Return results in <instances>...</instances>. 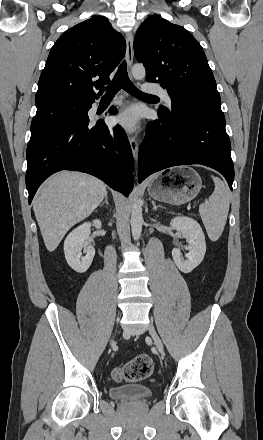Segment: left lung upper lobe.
<instances>
[{
    "mask_svg": "<svg viewBox=\"0 0 263 440\" xmlns=\"http://www.w3.org/2000/svg\"><path fill=\"white\" fill-rule=\"evenodd\" d=\"M136 59L146 68L148 82L167 89L172 111L176 109L221 108L220 95L205 53L183 27L160 16L148 17L134 39ZM166 107L158 112L170 115Z\"/></svg>",
    "mask_w": 263,
    "mask_h": 440,
    "instance_id": "left-lung-upper-lobe-1",
    "label": "left lung upper lobe"
}]
</instances>
